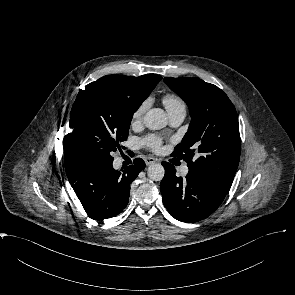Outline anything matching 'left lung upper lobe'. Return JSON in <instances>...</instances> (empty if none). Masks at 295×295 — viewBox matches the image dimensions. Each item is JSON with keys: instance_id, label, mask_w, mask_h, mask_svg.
<instances>
[{"instance_id": "5c2ea615", "label": "left lung upper lobe", "mask_w": 295, "mask_h": 295, "mask_svg": "<svg viewBox=\"0 0 295 295\" xmlns=\"http://www.w3.org/2000/svg\"><path fill=\"white\" fill-rule=\"evenodd\" d=\"M189 106L191 123L173 156L187 161L189 172L209 179L229 192L240 158L236 110L217 86L198 78H164Z\"/></svg>"}]
</instances>
